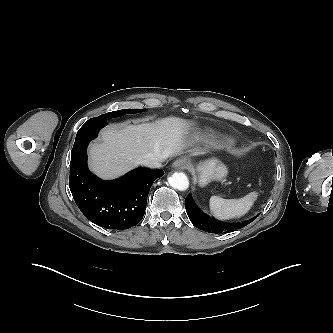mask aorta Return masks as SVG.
<instances>
[{"label":"aorta","instance_id":"1","mask_svg":"<svg viewBox=\"0 0 333 333\" xmlns=\"http://www.w3.org/2000/svg\"><path fill=\"white\" fill-rule=\"evenodd\" d=\"M168 182L171 187L186 190L189 187V180L184 173H173L169 178Z\"/></svg>","mask_w":333,"mask_h":333}]
</instances>
